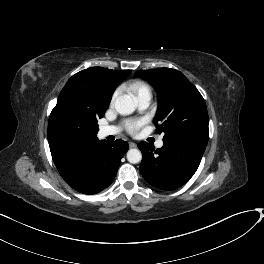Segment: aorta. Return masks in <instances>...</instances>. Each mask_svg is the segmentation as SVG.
I'll return each mask as SVG.
<instances>
[{
    "label": "aorta",
    "instance_id": "aorta-1",
    "mask_svg": "<svg viewBox=\"0 0 264 264\" xmlns=\"http://www.w3.org/2000/svg\"><path fill=\"white\" fill-rule=\"evenodd\" d=\"M137 106L136 98L133 95H121L117 97L115 101V109L121 115H129L132 114ZM142 159V154L138 149H130L127 152V160L136 164L139 163Z\"/></svg>",
    "mask_w": 264,
    "mask_h": 264
}]
</instances>
